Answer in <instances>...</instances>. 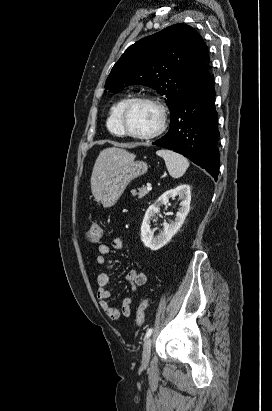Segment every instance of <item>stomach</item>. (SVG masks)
Wrapping results in <instances>:
<instances>
[{"mask_svg": "<svg viewBox=\"0 0 272 411\" xmlns=\"http://www.w3.org/2000/svg\"><path fill=\"white\" fill-rule=\"evenodd\" d=\"M148 166L143 161H134L133 159L114 170L102 189L99 201L103 207L114 206L127 185L135 178L145 174Z\"/></svg>", "mask_w": 272, "mask_h": 411, "instance_id": "1", "label": "stomach"}]
</instances>
